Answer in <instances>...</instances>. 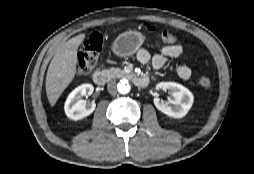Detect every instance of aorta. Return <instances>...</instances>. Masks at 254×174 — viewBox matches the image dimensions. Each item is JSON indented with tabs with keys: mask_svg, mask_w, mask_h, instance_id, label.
I'll return each mask as SVG.
<instances>
[{
	"mask_svg": "<svg viewBox=\"0 0 254 174\" xmlns=\"http://www.w3.org/2000/svg\"><path fill=\"white\" fill-rule=\"evenodd\" d=\"M130 85L128 80H121L120 83L117 85L118 92L120 94H127L130 91Z\"/></svg>",
	"mask_w": 254,
	"mask_h": 174,
	"instance_id": "obj_1",
	"label": "aorta"
}]
</instances>
